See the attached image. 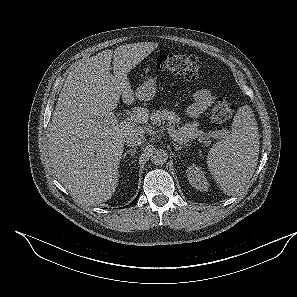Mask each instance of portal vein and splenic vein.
Returning a JSON list of instances; mask_svg holds the SVG:
<instances>
[{
    "instance_id": "portal-vein-and-splenic-vein-1",
    "label": "portal vein and splenic vein",
    "mask_w": 297,
    "mask_h": 297,
    "mask_svg": "<svg viewBox=\"0 0 297 297\" xmlns=\"http://www.w3.org/2000/svg\"><path fill=\"white\" fill-rule=\"evenodd\" d=\"M105 121L108 122V123H111V124H116L119 122L118 118L113 114V113H110L106 118H105ZM169 131V134L170 136L178 141V142H182V138L178 136L177 133H175V131L171 128L168 129ZM222 134V131H218L216 134H214V137L217 138L216 136Z\"/></svg>"
}]
</instances>
